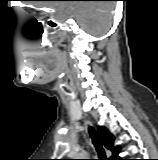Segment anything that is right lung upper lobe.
I'll use <instances>...</instances> for the list:
<instances>
[{
  "label": "right lung upper lobe",
  "mask_w": 158,
  "mask_h": 160,
  "mask_svg": "<svg viewBox=\"0 0 158 160\" xmlns=\"http://www.w3.org/2000/svg\"><path fill=\"white\" fill-rule=\"evenodd\" d=\"M98 136L104 147L112 152V156L108 160H115L120 151L119 146H114V136L103 126L98 127Z\"/></svg>",
  "instance_id": "cb5924a9"
}]
</instances>
